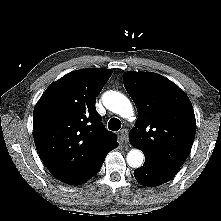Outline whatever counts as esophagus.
<instances>
[{
    "label": "esophagus",
    "instance_id": "esophagus-1",
    "mask_svg": "<svg viewBox=\"0 0 221 221\" xmlns=\"http://www.w3.org/2000/svg\"><path fill=\"white\" fill-rule=\"evenodd\" d=\"M120 137L124 142L128 141V130L127 129H122L120 131Z\"/></svg>",
    "mask_w": 221,
    "mask_h": 221
}]
</instances>
